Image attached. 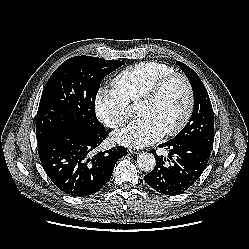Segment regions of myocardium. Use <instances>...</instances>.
Returning <instances> with one entry per match:
<instances>
[{"label":"myocardium","mask_w":249,"mask_h":249,"mask_svg":"<svg viewBox=\"0 0 249 249\" xmlns=\"http://www.w3.org/2000/svg\"><path fill=\"white\" fill-rule=\"evenodd\" d=\"M173 79H179L182 81L186 90L187 102L182 118L175 126L165 131V136H175L180 133L186 127L192 116L195 98L193 87L188 77L185 74L179 72H172L170 74H167L155 81L138 100L139 102L154 101L158 97L164 86Z\"/></svg>","instance_id":"1"}]
</instances>
